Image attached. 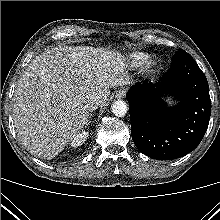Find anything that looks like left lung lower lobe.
<instances>
[{
	"label": "left lung lower lobe",
	"instance_id": "left-lung-lower-lobe-1",
	"mask_svg": "<svg viewBox=\"0 0 220 220\" xmlns=\"http://www.w3.org/2000/svg\"><path fill=\"white\" fill-rule=\"evenodd\" d=\"M163 94L180 102L168 108ZM131 135L136 147L157 160H171L193 151L207 130L211 100L204 73L192 56L179 49L161 81L135 84L126 94Z\"/></svg>",
	"mask_w": 220,
	"mask_h": 220
}]
</instances>
